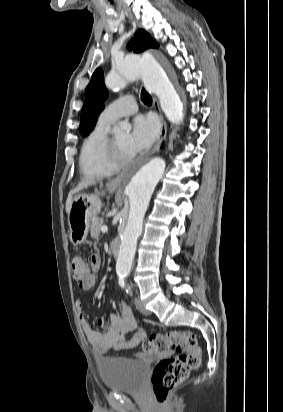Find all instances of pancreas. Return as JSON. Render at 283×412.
Masks as SVG:
<instances>
[{
    "instance_id": "pancreas-1",
    "label": "pancreas",
    "mask_w": 283,
    "mask_h": 412,
    "mask_svg": "<svg viewBox=\"0 0 283 412\" xmlns=\"http://www.w3.org/2000/svg\"><path fill=\"white\" fill-rule=\"evenodd\" d=\"M104 225L103 219H94L91 224V237L98 239L101 227Z\"/></svg>"
}]
</instances>
